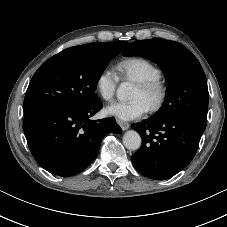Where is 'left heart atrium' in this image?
<instances>
[{"mask_svg":"<svg viewBox=\"0 0 227 227\" xmlns=\"http://www.w3.org/2000/svg\"><path fill=\"white\" fill-rule=\"evenodd\" d=\"M148 111V106L142 99L130 101H115L108 105L105 112L121 121H130L142 117Z\"/></svg>","mask_w":227,"mask_h":227,"instance_id":"obj_1","label":"left heart atrium"}]
</instances>
